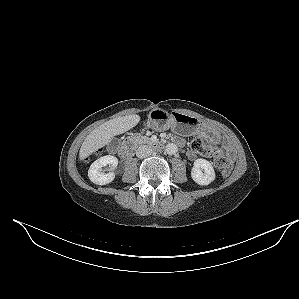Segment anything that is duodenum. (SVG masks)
<instances>
[{
  "mask_svg": "<svg viewBox=\"0 0 299 299\" xmlns=\"http://www.w3.org/2000/svg\"><path fill=\"white\" fill-rule=\"evenodd\" d=\"M151 146L156 150H161L164 145L161 142H153ZM117 150L120 156L127 158L132 154L133 144L131 142L122 143L121 145H119Z\"/></svg>",
  "mask_w": 299,
  "mask_h": 299,
  "instance_id": "1",
  "label": "duodenum"
}]
</instances>
